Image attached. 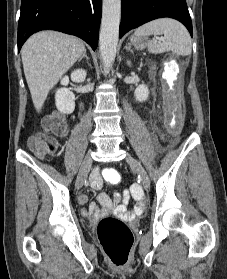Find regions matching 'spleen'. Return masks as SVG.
Returning a JSON list of instances; mask_svg holds the SVG:
<instances>
[{
    "mask_svg": "<svg viewBox=\"0 0 227 279\" xmlns=\"http://www.w3.org/2000/svg\"><path fill=\"white\" fill-rule=\"evenodd\" d=\"M164 35L163 40H152L148 44L151 53L172 51L177 55H190L191 38L186 28L173 19L163 18L151 21L135 30V36Z\"/></svg>",
    "mask_w": 227,
    "mask_h": 279,
    "instance_id": "1",
    "label": "spleen"
}]
</instances>
